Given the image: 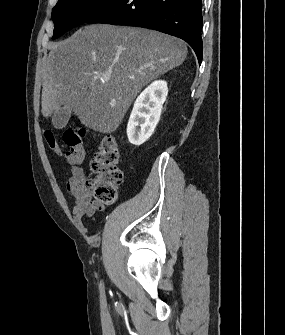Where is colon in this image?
<instances>
[{
	"mask_svg": "<svg viewBox=\"0 0 285 335\" xmlns=\"http://www.w3.org/2000/svg\"><path fill=\"white\" fill-rule=\"evenodd\" d=\"M86 130L81 127L69 128L63 134V141L68 147L63 151L55 134L46 130L44 137L49 148L65 158L70 165H80L85 157L83 145ZM120 148L112 136H104L99 148L91 161L92 175L89 185L96 201L102 204H112L118 195V189L123 181V173L118 164Z\"/></svg>",
	"mask_w": 285,
	"mask_h": 335,
	"instance_id": "colon-1",
	"label": "colon"
}]
</instances>
